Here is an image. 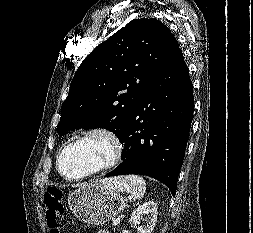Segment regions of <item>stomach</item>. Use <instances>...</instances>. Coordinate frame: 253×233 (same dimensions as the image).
<instances>
[{
    "label": "stomach",
    "mask_w": 253,
    "mask_h": 233,
    "mask_svg": "<svg viewBox=\"0 0 253 233\" xmlns=\"http://www.w3.org/2000/svg\"><path fill=\"white\" fill-rule=\"evenodd\" d=\"M68 206L80 221L101 225L124 210L126 199L103 184L90 183L68 195Z\"/></svg>",
    "instance_id": "obj_1"
}]
</instances>
